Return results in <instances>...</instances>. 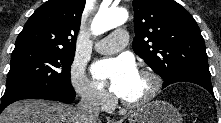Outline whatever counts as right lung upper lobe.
Here are the masks:
<instances>
[{
	"label": "right lung upper lobe",
	"instance_id": "right-lung-upper-lobe-1",
	"mask_svg": "<svg viewBox=\"0 0 221 123\" xmlns=\"http://www.w3.org/2000/svg\"><path fill=\"white\" fill-rule=\"evenodd\" d=\"M85 0H49L28 19L15 49H46L75 52Z\"/></svg>",
	"mask_w": 221,
	"mask_h": 123
}]
</instances>
